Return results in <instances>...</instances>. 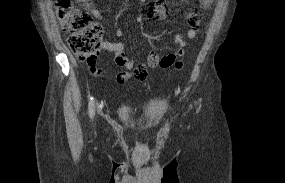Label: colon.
Segmentation results:
<instances>
[{"label": "colon", "instance_id": "colon-1", "mask_svg": "<svg viewBox=\"0 0 285 183\" xmlns=\"http://www.w3.org/2000/svg\"><path fill=\"white\" fill-rule=\"evenodd\" d=\"M55 7L62 29L70 34L68 44L80 60H95L102 48V27L93 22L90 14L78 8L73 0H56ZM181 70L183 63L176 62ZM144 72L136 69L135 78L142 80Z\"/></svg>", "mask_w": 285, "mask_h": 183}]
</instances>
